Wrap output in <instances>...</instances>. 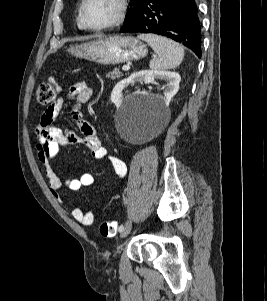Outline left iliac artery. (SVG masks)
<instances>
[{"instance_id":"left-iliac-artery-1","label":"left iliac artery","mask_w":267,"mask_h":301,"mask_svg":"<svg viewBox=\"0 0 267 301\" xmlns=\"http://www.w3.org/2000/svg\"><path fill=\"white\" fill-rule=\"evenodd\" d=\"M124 200H126V199H124ZM125 203H126V201H125ZM123 227H124L123 225H120L118 230L121 232L123 230Z\"/></svg>"}]
</instances>
